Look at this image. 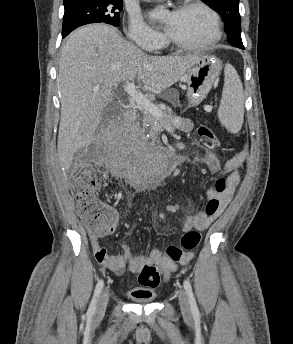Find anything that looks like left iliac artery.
Masks as SVG:
<instances>
[{"label":"left iliac artery","instance_id":"44dca946","mask_svg":"<svg viewBox=\"0 0 293 344\" xmlns=\"http://www.w3.org/2000/svg\"><path fill=\"white\" fill-rule=\"evenodd\" d=\"M183 285H184L186 293L189 297L192 314L194 317H198L199 316V310H198V307H197V304H196V301L194 298V294L192 291V286H191L189 280L185 279Z\"/></svg>","mask_w":293,"mask_h":344}]
</instances>
